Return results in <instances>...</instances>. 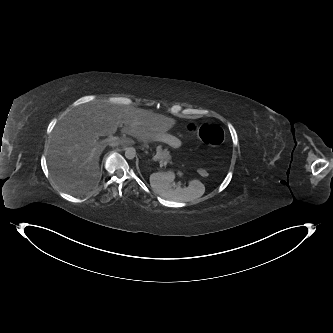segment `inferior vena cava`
Segmentation results:
<instances>
[{
    "instance_id": "1",
    "label": "inferior vena cava",
    "mask_w": 333,
    "mask_h": 333,
    "mask_svg": "<svg viewBox=\"0 0 333 333\" xmlns=\"http://www.w3.org/2000/svg\"><path fill=\"white\" fill-rule=\"evenodd\" d=\"M119 145V143H117V142H111V143H109V146H112V147H115V146H118Z\"/></svg>"
}]
</instances>
